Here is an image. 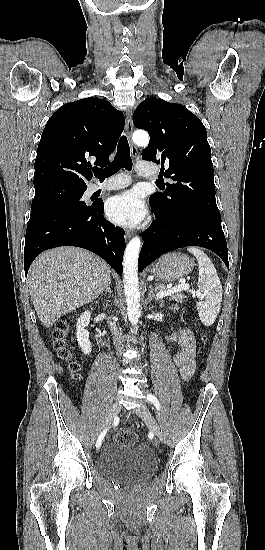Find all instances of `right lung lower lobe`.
Instances as JSON below:
<instances>
[{
  "instance_id": "right-lung-lower-lobe-1",
  "label": "right lung lower lobe",
  "mask_w": 265,
  "mask_h": 550,
  "mask_svg": "<svg viewBox=\"0 0 265 550\" xmlns=\"http://www.w3.org/2000/svg\"><path fill=\"white\" fill-rule=\"evenodd\" d=\"M103 212L101 200L81 209H54L31 215L25 238V274L42 251L77 246L96 253L121 275L124 230L106 221Z\"/></svg>"
}]
</instances>
